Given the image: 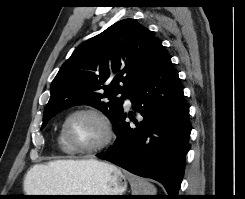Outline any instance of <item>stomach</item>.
Here are the masks:
<instances>
[{
	"mask_svg": "<svg viewBox=\"0 0 245 199\" xmlns=\"http://www.w3.org/2000/svg\"><path fill=\"white\" fill-rule=\"evenodd\" d=\"M66 192L49 195H123L127 177L118 167L94 160L64 180ZM111 196L49 197L41 199H100ZM113 197V196H112Z\"/></svg>",
	"mask_w": 245,
	"mask_h": 199,
	"instance_id": "obj_1",
	"label": "stomach"
}]
</instances>
